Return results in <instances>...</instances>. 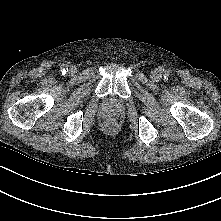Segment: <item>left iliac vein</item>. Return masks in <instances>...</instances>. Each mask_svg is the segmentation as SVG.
<instances>
[{"mask_svg":"<svg viewBox=\"0 0 221 221\" xmlns=\"http://www.w3.org/2000/svg\"><path fill=\"white\" fill-rule=\"evenodd\" d=\"M161 76H162L161 72L159 70H157V69L153 70L151 72V75H150L151 79L154 80V81L160 80Z\"/></svg>","mask_w":221,"mask_h":221,"instance_id":"4c4485c4","label":"left iliac vein"}]
</instances>
